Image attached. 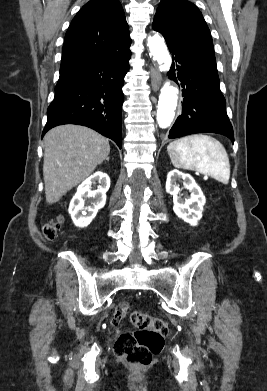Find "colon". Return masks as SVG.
Segmentation results:
<instances>
[{
    "mask_svg": "<svg viewBox=\"0 0 267 391\" xmlns=\"http://www.w3.org/2000/svg\"><path fill=\"white\" fill-rule=\"evenodd\" d=\"M59 226V220L45 223L42 230L44 237L53 240L57 236ZM127 317L136 330L123 332L118 337L114 345L115 354L130 366H147L164 346L168 333L167 323L162 318L132 310L126 301L120 302L115 309L114 321L120 322Z\"/></svg>",
    "mask_w": 267,
    "mask_h": 391,
    "instance_id": "obj_1",
    "label": "colon"
}]
</instances>
